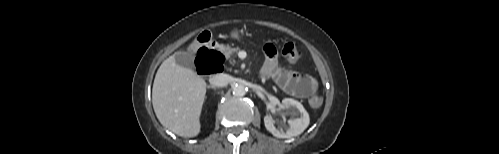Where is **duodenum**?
Masks as SVG:
<instances>
[{
	"label": "duodenum",
	"mask_w": 499,
	"mask_h": 154,
	"mask_svg": "<svg viewBox=\"0 0 499 154\" xmlns=\"http://www.w3.org/2000/svg\"><path fill=\"white\" fill-rule=\"evenodd\" d=\"M212 58L206 57V56H200L197 59L196 66H197V71L200 74H215L218 73L219 71H216L213 67L209 66L208 63L212 62Z\"/></svg>",
	"instance_id": "1"
}]
</instances>
